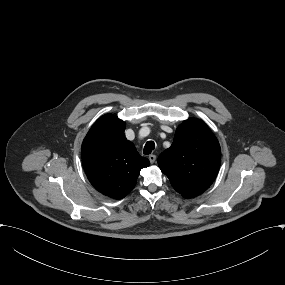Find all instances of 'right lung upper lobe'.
Instances as JSON below:
<instances>
[{
	"mask_svg": "<svg viewBox=\"0 0 285 285\" xmlns=\"http://www.w3.org/2000/svg\"><path fill=\"white\" fill-rule=\"evenodd\" d=\"M125 122L114 115L100 117L82 144V164L90 183L102 194L124 198L150 162L125 138Z\"/></svg>",
	"mask_w": 285,
	"mask_h": 285,
	"instance_id": "1",
	"label": "right lung upper lobe"
}]
</instances>
